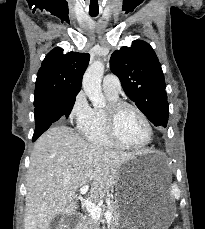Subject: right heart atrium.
I'll return each mask as SVG.
<instances>
[{
	"instance_id": "obj_1",
	"label": "right heart atrium",
	"mask_w": 205,
	"mask_h": 229,
	"mask_svg": "<svg viewBox=\"0 0 205 229\" xmlns=\"http://www.w3.org/2000/svg\"><path fill=\"white\" fill-rule=\"evenodd\" d=\"M92 116V108L83 91L78 92L71 104L69 111L70 121L80 129L86 125Z\"/></svg>"
}]
</instances>
